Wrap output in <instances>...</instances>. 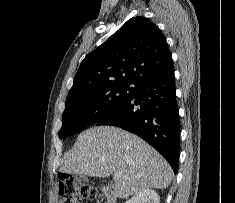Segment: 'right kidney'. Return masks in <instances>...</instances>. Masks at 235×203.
<instances>
[{
	"instance_id": "ca27d5eb",
	"label": "right kidney",
	"mask_w": 235,
	"mask_h": 203,
	"mask_svg": "<svg viewBox=\"0 0 235 203\" xmlns=\"http://www.w3.org/2000/svg\"><path fill=\"white\" fill-rule=\"evenodd\" d=\"M125 203H160V197L156 191L144 189L136 193L130 200Z\"/></svg>"
}]
</instances>
